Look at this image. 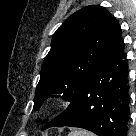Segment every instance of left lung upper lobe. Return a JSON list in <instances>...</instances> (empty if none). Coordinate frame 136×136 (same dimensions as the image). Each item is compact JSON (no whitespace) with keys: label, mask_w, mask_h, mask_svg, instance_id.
I'll use <instances>...</instances> for the list:
<instances>
[{"label":"left lung upper lobe","mask_w":136,"mask_h":136,"mask_svg":"<svg viewBox=\"0 0 136 136\" xmlns=\"http://www.w3.org/2000/svg\"><path fill=\"white\" fill-rule=\"evenodd\" d=\"M117 20L101 6L91 5L72 14L54 33L37 85L34 107L52 94L71 102L103 63L119 33Z\"/></svg>","instance_id":"obj_1"}]
</instances>
